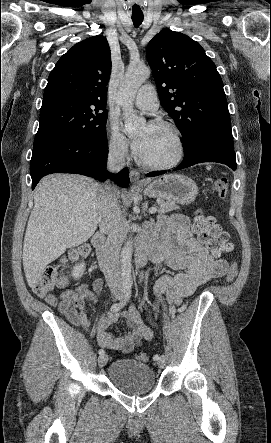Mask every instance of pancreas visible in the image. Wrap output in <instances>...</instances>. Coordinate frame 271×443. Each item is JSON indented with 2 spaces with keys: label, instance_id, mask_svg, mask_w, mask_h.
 I'll list each match as a JSON object with an SVG mask.
<instances>
[{
  "label": "pancreas",
  "instance_id": "cf45deb5",
  "mask_svg": "<svg viewBox=\"0 0 271 443\" xmlns=\"http://www.w3.org/2000/svg\"><path fill=\"white\" fill-rule=\"evenodd\" d=\"M158 206L160 214H167V212H172V210H180L179 206L174 204V202H164V200H160Z\"/></svg>",
  "mask_w": 271,
  "mask_h": 443
}]
</instances>
